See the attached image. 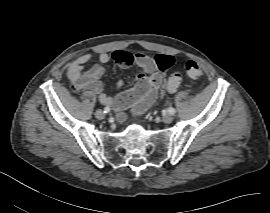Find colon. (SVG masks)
Returning a JSON list of instances; mask_svg holds the SVG:
<instances>
[{
    "label": "colon",
    "mask_w": 270,
    "mask_h": 213,
    "mask_svg": "<svg viewBox=\"0 0 270 213\" xmlns=\"http://www.w3.org/2000/svg\"><path fill=\"white\" fill-rule=\"evenodd\" d=\"M115 59L122 62H131L132 57L129 53L124 51H117L112 55ZM161 64L166 67L170 64V58L160 57L156 58ZM186 72L188 76L192 79H201L203 77L202 68L194 61H188L185 64ZM181 83V76L178 73L172 74L166 83V88L169 91H175ZM140 98V94L137 91H132L124 95V99L127 103H136Z\"/></svg>",
    "instance_id": "colon-1"
}]
</instances>
